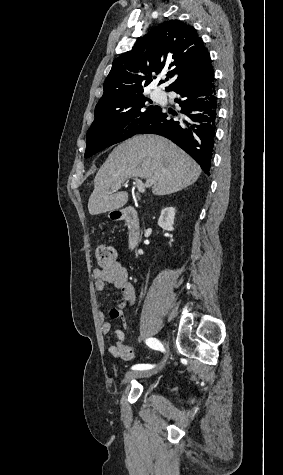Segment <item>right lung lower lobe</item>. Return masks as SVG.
Listing matches in <instances>:
<instances>
[{
  "label": "right lung lower lobe",
  "instance_id": "1",
  "mask_svg": "<svg viewBox=\"0 0 283 475\" xmlns=\"http://www.w3.org/2000/svg\"><path fill=\"white\" fill-rule=\"evenodd\" d=\"M169 91L179 95L174 101L181 111L160 108L137 134H158L172 140L209 175L218 109L214 70L181 81Z\"/></svg>",
  "mask_w": 283,
  "mask_h": 475
}]
</instances>
